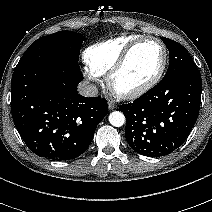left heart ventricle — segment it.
I'll use <instances>...</instances> for the list:
<instances>
[{"instance_id": "left-heart-ventricle-1", "label": "left heart ventricle", "mask_w": 212, "mask_h": 212, "mask_svg": "<svg viewBox=\"0 0 212 212\" xmlns=\"http://www.w3.org/2000/svg\"><path fill=\"white\" fill-rule=\"evenodd\" d=\"M162 58L163 52L158 44L154 42L140 44L117 76V87L121 90H130L144 84L158 71Z\"/></svg>"}]
</instances>
